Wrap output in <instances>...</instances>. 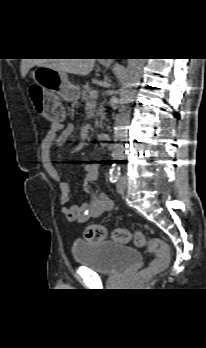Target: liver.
Here are the masks:
<instances>
[{
  "label": "liver",
  "instance_id": "liver-1",
  "mask_svg": "<svg viewBox=\"0 0 206 348\" xmlns=\"http://www.w3.org/2000/svg\"><path fill=\"white\" fill-rule=\"evenodd\" d=\"M95 61L96 59H23L20 70L23 78L34 66L49 67L64 73L86 76L93 70Z\"/></svg>",
  "mask_w": 206,
  "mask_h": 348
}]
</instances>
